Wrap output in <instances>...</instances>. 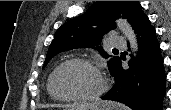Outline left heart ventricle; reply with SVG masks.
<instances>
[{
	"label": "left heart ventricle",
	"instance_id": "1",
	"mask_svg": "<svg viewBox=\"0 0 171 110\" xmlns=\"http://www.w3.org/2000/svg\"><path fill=\"white\" fill-rule=\"evenodd\" d=\"M100 86L101 77L98 73L80 64L63 67L54 80L55 90L64 96L93 94Z\"/></svg>",
	"mask_w": 171,
	"mask_h": 110
}]
</instances>
